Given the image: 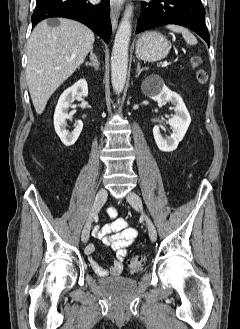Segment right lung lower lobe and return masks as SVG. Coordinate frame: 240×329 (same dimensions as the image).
Listing matches in <instances>:
<instances>
[{
  "label": "right lung lower lobe",
  "instance_id": "right-lung-lower-lobe-1",
  "mask_svg": "<svg viewBox=\"0 0 240 329\" xmlns=\"http://www.w3.org/2000/svg\"><path fill=\"white\" fill-rule=\"evenodd\" d=\"M92 5L87 0H37L32 27L50 17H65L88 26L106 43L111 36L109 0Z\"/></svg>",
  "mask_w": 240,
  "mask_h": 329
}]
</instances>
